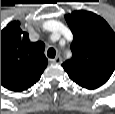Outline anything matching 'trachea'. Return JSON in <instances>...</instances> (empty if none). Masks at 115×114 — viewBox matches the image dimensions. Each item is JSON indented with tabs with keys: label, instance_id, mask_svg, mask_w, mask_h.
Returning <instances> with one entry per match:
<instances>
[{
	"label": "trachea",
	"instance_id": "1",
	"mask_svg": "<svg viewBox=\"0 0 115 114\" xmlns=\"http://www.w3.org/2000/svg\"><path fill=\"white\" fill-rule=\"evenodd\" d=\"M55 55H56V51L54 48H49L48 51H47V56L49 58H55Z\"/></svg>",
	"mask_w": 115,
	"mask_h": 114
}]
</instances>
